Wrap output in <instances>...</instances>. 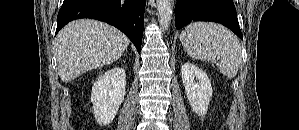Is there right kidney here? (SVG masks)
Returning <instances> with one entry per match:
<instances>
[{
  "label": "right kidney",
  "mask_w": 299,
  "mask_h": 130,
  "mask_svg": "<svg viewBox=\"0 0 299 130\" xmlns=\"http://www.w3.org/2000/svg\"><path fill=\"white\" fill-rule=\"evenodd\" d=\"M125 85L126 74L121 67L108 70L94 83L91 102L99 124L108 125L113 121L119 106L124 101Z\"/></svg>",
  "instance_id": "right-kidney-1"
}]
</instances>
